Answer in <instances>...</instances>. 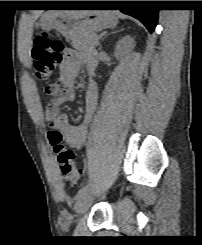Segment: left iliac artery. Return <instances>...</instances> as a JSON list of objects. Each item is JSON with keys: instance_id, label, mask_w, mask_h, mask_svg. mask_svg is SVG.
<instances>
[{"instance_id": "44dca946", "label": "left iliac artery", "mask_w": 202, "mask_h": 245, "mask_svg": "<svg viewBox=\"0 0 202 245\" xmlns=\"http://www.w3.org/2000/svg\"><path fill=\"white\" fill-rule=\"evenodd\" d=\"M90 189V184H86L84 185L77 193V195L75 196V198L77 199L80 195L85 194L86 192H88Z\"/></svg>"}]
</instances>
